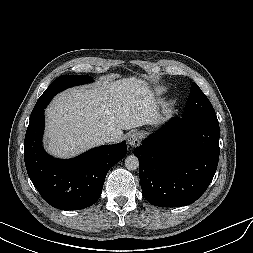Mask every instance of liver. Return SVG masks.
<instances>
[{
  "label": "liver",
  "instance_id": "obj_1",
  "mask_svg": "<svg viewBox=\"0 0 253 253\" xmlns=\"http://www.w3.org/2000/svg\"><path fill=\"white\" fill-rule=\"evenodd\" d=\"M158 113L146 82L135 77L104 79L91 87H77L57 95L46 109L45 143L56 157H73L101 145L99 134L153 125Z\"/></svg>",
  "mask_w": 253,
  "mask_h": 253
}]
</instances>
